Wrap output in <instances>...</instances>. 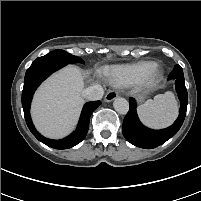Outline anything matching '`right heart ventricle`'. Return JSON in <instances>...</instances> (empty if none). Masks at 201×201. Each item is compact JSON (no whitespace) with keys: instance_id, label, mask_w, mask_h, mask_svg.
<instances>
[{"instance_id":"obj_1","label":"right heart ventricle","mask_w":201,"mask_h":201,"mask_svg":"<svg viewBox=\"0 0 201 201\" xmlns=\"http://www.w3.org/2000/svg\"><path fill=\"white\" fill-rule=\"evenodd\" d=\"M157 64L153 61H142L134 64L117 65L105 71L111 84L129 86L145 80L148 73Z\"/></svg>"}]
</instances>
